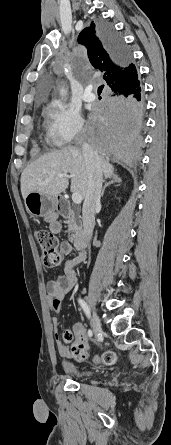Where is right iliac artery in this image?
Returning <instances> with one entry per match:
<instances>
[{"label":"right iliac artery","mask_w":171,"mask_h":445,"mask_svg":"<svg viewBox=\"0 0 171 445\" xmlns=\"http://www.w3.org/2000/svg\"><path fill=\"white\" fill-rule=\"evenodd\" d=\"M78 302H79V304L81 305V307L83 308V310H84V312L86 313V315H87L88 317H90V311H89V308H88L87 304L85 303V301L82 300V299H78ZM88 336H89V337H92V336H93V332H92L91 329L88 330Z\"/></svg>","instance_id":"1"}]
</instances>
